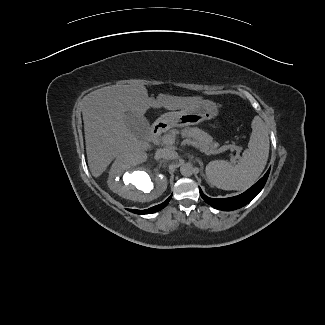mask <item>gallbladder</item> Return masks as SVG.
<instances>
[{
	"mask_svg": "<svg viewBox=\"0 0 325 325\" xmlns=\"http://www.w3.org/2000/svg\"><path fill=\"white\" fill-rule=\"evenodd\" d=\"M125 123L130 131L141 140H146L149 137L150 124L144 116L127 111L125 113Z\"/></svg>",
	"mask_w": 325,
	"mask_h": 325,
	"instance_id": "obj_1",
	"label": "gallbladder"
}]
</instances>
